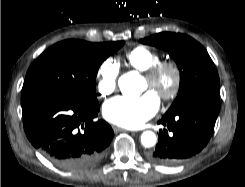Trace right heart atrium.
I'll list each match as a JSON object with an SVG mask.
<instances>
[{
	"mask_svg": "<svg viewBox=\"0 0 245 187\" xmlns=\"http://www.w3.org/2000/svg\"><path fill=\"white\" fill-rule=\"evenodd\" d=\"M119 74L118 65L111 58L104 60L97 73L96 91L99 97L106 98L116 90Z\"/></svg>",
	"mask_w": 245,
	"mask_h": 187,
	"instance_id": "obj_1",
	"label": "right heart atrium"
}]
</instances>
